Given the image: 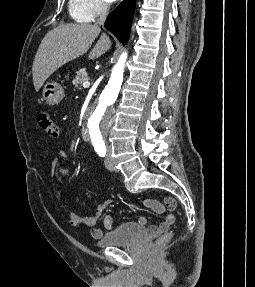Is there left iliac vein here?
<instances>
[{
	"instance_id": "4c4485c4",
	"label": "left iliac vein",
	"mask_w": 255,
	"mask_h": 287,
	"mask_svg": "<svg viewBox=\"0 0 255 287\" xmlns=\"http://www.w3.org/2000/svg\"><path fill=\"white\" fill-rule=\"evenodd\" d=\"M111 148L108 147L107 148V157H106V160H105V167L108 169V170H113L114 169V166H113V162H112V159H111Z\"/></svg>"
}]
</instances>
